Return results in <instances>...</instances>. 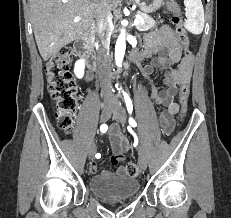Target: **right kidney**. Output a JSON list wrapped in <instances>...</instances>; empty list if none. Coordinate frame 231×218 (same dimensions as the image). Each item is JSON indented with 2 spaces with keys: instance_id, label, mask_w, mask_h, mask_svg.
<instances>
[{
  "instance_id": "ca27d5eb",
  "label": "right kidney",
  "mask_w": 231,
  "mask_h": 218,
  "mask_svg": "<svg viewBox=\"0 0 231 218\" xmlns=\"http://www.w3.org/2000/svg\"><path fill=\"white\" fill-rule=\"evenodd\" d=\"M84 70H85V61L83 59L78 60L75 63L74 73L79 79H81L83 77Z\"/></svg>"
}]
</instances>
